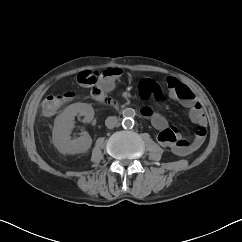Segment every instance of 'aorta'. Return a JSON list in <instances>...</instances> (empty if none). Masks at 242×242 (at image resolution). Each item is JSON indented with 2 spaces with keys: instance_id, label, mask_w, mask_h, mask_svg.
I'll return each mask as SVG.
<instances>
[{
  "instance_id": "762f6f07",
  "label": "aorta",
  "mask_w": 242,
  "mask_h": 242,
  "mask_svg": "<svg viewBox=\"0 0 242 242\" xmlns=\"http://www.w3.org/2000/svg\"><path fill=\"white\" fill-rule=\"evenodd\" d=\"M135 116V110L132 108H126L123 111V121H122V126L124 128H130L134 125V120L133 117Z\"/></svg>"
}]
</instances>
